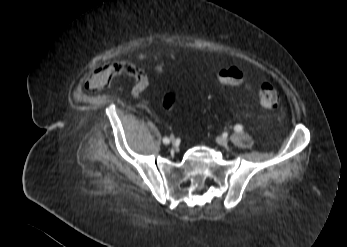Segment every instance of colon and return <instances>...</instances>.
<instances>
[{"mask_svg":"<svg viewBox=\"0 0 347 247\" xmlns=\"http://www.w3.org/2000/svg\"><path fill=\"white\" fill-rule=\"evenodd\" d=\"M218 79L220 83L227 86H239L244 81L242 73L234 67L221 70ZM256 97L260 105L267 109H273L279 103L277 86L269 80L261 81L256 86ZM177 98L176 92H167L162 98V106L165 109L173 108L177 102Z\"/></svg>","mask_w":347,"mask_h":247,"instance_id":"obj_1","label":"colon"}]
</instances>
